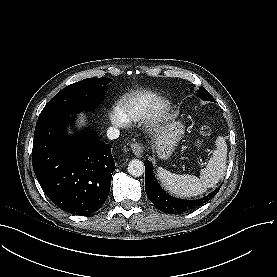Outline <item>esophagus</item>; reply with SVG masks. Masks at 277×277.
<instances>
[{
	"label": "esophagus",
	"instance_id": "esophagus-1",
	"mask_svg": "<svg viewBox=\"0 0 277 277\" xmlns=\"http://www.w3.org/2000/svg\"><path fill=\"white\" fill-rule=\"evenodd\" d=\"M131 149L136 157H141V155L143 154V146L139 142L132 143Z\"/></svg>",
	"mask_w": 277,
	"mask_h": 277
}]
</instances>
